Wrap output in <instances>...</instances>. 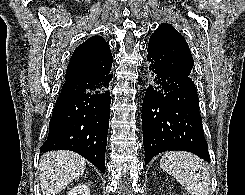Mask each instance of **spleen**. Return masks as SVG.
Here are the masks:
<instances>
[{
    "label": "spleen",
    "instance_id": "spleen-1",
    "mask_svg": "<svg viewBox=\"0 0 245 195\" xmlns=\"http://www.w3.org/2000/svg\"><path fill=\"white\" fill-rule=\"evenodd\" d=\"M161 168L171 174L190 195H209L210 172L201 158L188 152H166Z\"/></svg>",
    "mask_w": 245,
    "mask_h": 195
}]
</instances>
